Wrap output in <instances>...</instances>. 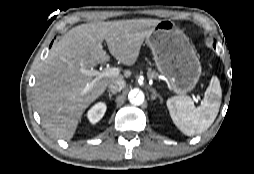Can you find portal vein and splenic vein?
Instances as JSON below:
<instances>
[{
	"label": "portal vein and splenic vein",
	"mask_w": 254,
	"mask_h": 174,
	"mask_svg": "<svg viewBox=\"0 0 254 174\" xmlns=\"http://www.w3.org/2000/svg\"><path fill=\"white\" fill-rule=\"evenodd\" d=\"M83 73L86 74V75L95 76V79L92 81V83L87 85L86 89H88L91 85H93L94 83H96L97 81H99L103 77L118 76L120 74V70L118 68H115V67H106L102 71H97V70H94V69L83 70Z\"/></svg>",
	"instance_id": "18ae733b"
}]
</instances>
